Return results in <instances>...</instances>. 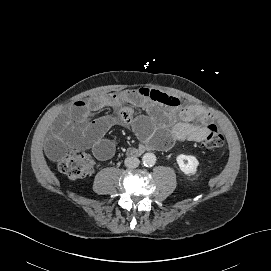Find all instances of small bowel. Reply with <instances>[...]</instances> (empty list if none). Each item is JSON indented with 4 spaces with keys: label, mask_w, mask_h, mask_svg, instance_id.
<instances>
[{
    "label": "small bowel",
    "mask_w": 271,
    "mask_h": 271,
    "mask_svg": "<svg viewBox=\"0 0 271 271\" xmlns=\"http://www.w3.org/2000/svg\"><path fill=\"white\" fill-rule=\"evenodd\" d=\"M132 107L142 108L147 115H136ZM104 108H112L114 113L91 119ZM211 123L212 116L203 108L183 105L178 98L156 89L95 94L75 101L69 112L55 121L46 148L54 160L66 146L91 149L98 160H107L115 153L114 144L104 138L112 127L131 126L142 141L156 149H168L179 141L203 142Z\"/></svg>",
    "instance_id": "small-bowel-1"
}]
</instances>
